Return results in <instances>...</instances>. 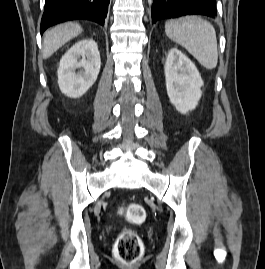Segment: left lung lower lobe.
I'll list each match as a JSON object with an SVG mask.
<instances>
[{
  "mask_svg": "<svg viewBox=\"0 0 265 269\" xmlns=\"http://www.w3.org/2000/svg\"><path fill=\"white\" fill-rule=\"evenodd\" d=\"M217 16L216 0H154L152 22L184 15Z\"/></svg>",
  "mask_w": 265,
  "mask_h": 269,
  "instance_id": "obj_1",
  "label": "left lung lower lobe"
}]
</instances>
